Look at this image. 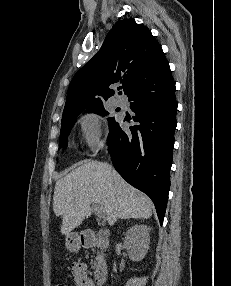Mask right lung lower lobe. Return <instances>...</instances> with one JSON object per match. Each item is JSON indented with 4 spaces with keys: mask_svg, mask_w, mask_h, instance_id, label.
<instances>
[{
    "mask_svg": "<svg viewBox=\"0 0 231 286\" xmlns=\"http://www.w3.org/2000/svg\"><path fill=\"white\" fill-rule=\"evenodd\" d=\"M132 101L134 122L123 131L110 126L108 150L117 172L153 201L163 223L170 188V168L177 125L175 83L171 71L163 76L140 80L126 91Z\"/></svg>",
    "mask_w": 231,
    "mask_h": 286,
    "instance_id": "1",
    "label": "right lung lower lobe"
}]
</instances>
